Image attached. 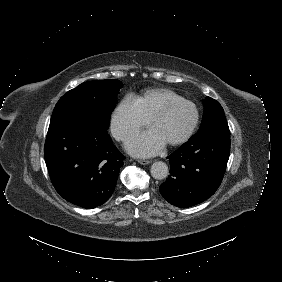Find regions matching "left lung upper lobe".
<instances>
[{
    "mask_svg": "<svg viewBox=\"0 0 282 282\" xmlns=\"http://www.w3.org/2000/svg\"><path fill=\"white\" fill-rule=\"evenodd\" d=\"M203 105L204 113L200 129L215 123L226 122L224 110L216 100L206 97L203 100Z\"/></svg>",
    "mask_w": 282,
    "mask_h": 282,
    "instance_id": "obj_1",
    "label": "left lung upper lobe"
}]
</instances>
